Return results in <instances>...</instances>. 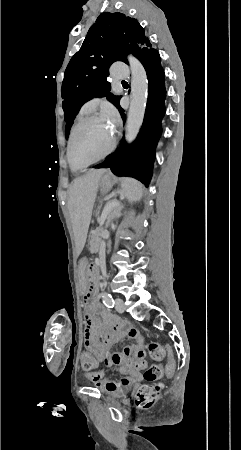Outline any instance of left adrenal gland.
Wrapping results in <instances>:
<instances>
[{"label":"left adrenal gland","mask_w":241,"mask_h":450,"mask_svg":"<svg viewBox=\"0 0 241 450\" xmlns=\"http://www.w3.org/2000/svg\"><path fill=\"white\" fill-rule=\"evenodd\" d=\"M121 210H123V206H120V208H113L114 218H120Z\"/></svg>","instance_id":"left-adrenal-gland-1"}]
</instances>
